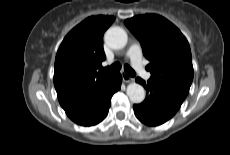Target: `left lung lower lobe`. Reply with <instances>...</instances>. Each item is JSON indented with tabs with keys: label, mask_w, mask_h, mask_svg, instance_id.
I'll use <instances>...</instances> for the list:
<instances>
[{
	"label": "left lung lower lobe",
	"mask_w": 230,
	"mask_h": 155,
	"mask_svg": "<svg viewBox=\"0 0 230 155\" xmlns=\"http://www.w3.org/2000/svg\"><path fill=\"white\" fill-rule=\"evenodd\" d=\"M136 82L146 89V98L133 106L136 117L144 124L158 126L171 119L181 107L184 99L168 92L151 80L145 83L141 78Z\"/></svg>",
	"instance_id": "left-lung-lower-lobe-1"
}]
</instances>
